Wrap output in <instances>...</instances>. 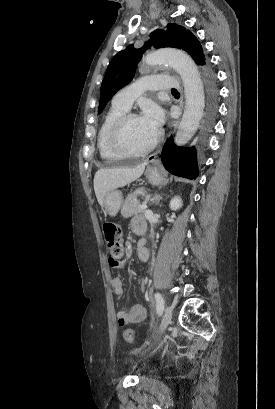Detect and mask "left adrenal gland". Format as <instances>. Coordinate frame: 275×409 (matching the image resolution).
I'll use <instances>...</instances> for the list:
<instances>
[{
    "label": "left adrenal gland",
    "instance_id": "obj_1",
    "mask_svg": "<svg viewBox=\"0 0 275 409\" xmlns=\"http://www.w3.org/2000/svg\"><path fill=\"white\" fill-rule=\"evenodd\" d=\"M162 196H159V194H155L152 198V202H155V205H159V202L161 200Z\"/></svg>",
    "mask_w": 275,
    "mask_h": 409
}]
</instances>
